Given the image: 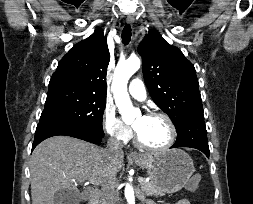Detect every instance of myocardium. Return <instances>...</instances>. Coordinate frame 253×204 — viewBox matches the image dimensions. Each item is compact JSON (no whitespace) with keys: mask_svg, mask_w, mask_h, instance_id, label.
<instances>
[{"mask_svg":"<svg viewBox=\"0 0 253 204\" xmlns=\"http://www.w3.org/2000/svg\"><path fill=\"white\" fill-rule=\"evenodd\" d=\"M145 116L162 118L167 123V125L169 127L170 137H169V140L167 141V143L164 144L163 146L153 147V146H149L146 143H144L142 141V139L140 138L138 132L134 128L135 141H136L137 145L144 150L152 151V152H161V151H165V150H168L169 148H171L173 146V144L175 143V140L177 137L176 127H175L173 121L171 120V118L168 115H166L162 112H157V111L149 112Z\"/></svg>","mask_w":253,"mask_h":204,"instance_id":"1","label":"myocardium"}]
</instances>
